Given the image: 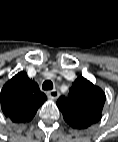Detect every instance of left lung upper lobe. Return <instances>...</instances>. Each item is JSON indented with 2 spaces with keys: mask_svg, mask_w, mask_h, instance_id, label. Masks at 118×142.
<instances>
[{
  "mask_svg": "<svg viewBox=\"0 0 118 142\" xmlns=\"http://www.w3.org/2000/svg\"><path fill=\"white\" fill-rule=\"evenodd\" d=\"M105 99L101 88L79 76L68 96L58 99L57 106L67 124L75 129H86L100 121Z\"/></svg>",
  "mask_w": 118,
  "mask_h": 142,
  "instance_id": "5c2ea615",
  "label": "left lung upper lobe"
}]
</instances>
